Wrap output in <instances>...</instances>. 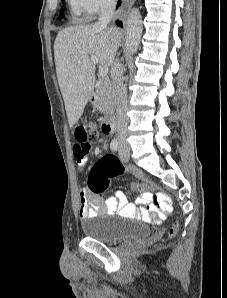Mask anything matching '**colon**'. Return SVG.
I'll list each match as a JSON object with an SVG mask.
<instances>
[{
    "label": "colon",
    "instance_id": "colon-1",
    "mask_svg": "<svg viewBox=\"0 0 227 298\" xmlns=\"http://www.w3.org/2000/svg\"><path fill=\"white\" fill-rule=\"evenodd\" d=\"M98 136V127L94 122H86L79 125L74 132V139H79L80 142H94ZM123 171L122 164L115 157L104 156L91 168L88 178L89 190L96 194L105 192L110 184V179L122 174ZM132 188L139 191H154L157 186L151 181H144L143 183H133ZM153 204L156 210L166 213V208L170 205L169 198L163 193H155ZM177 231L178 225L174 224L169 230V235L174 236Z\"/></svg>",
    "mask_w": 227,
    "mask_h": 298
}]
</instances>
